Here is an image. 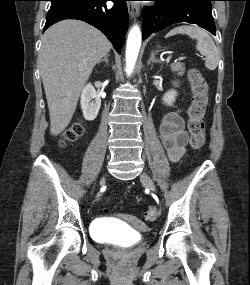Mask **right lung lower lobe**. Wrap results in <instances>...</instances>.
<instances>
[{"label": "right lung lower lobe", "mask_w": 250, "mask_h": 285, "mask_svg": "<svg viewBox=\"0 0 250 285\" xmlns=\"http://www.w3.org/2000/svg\"><path fill=\"white\" fill-rule=\"evenodd\" d=\"M106 1L78 0L51 7L43 30L63 19L82 20L102 31L120 54L129 26L127 0H111L112 8H107Z\"/></svg>", "instance_id": "obj_1"}]
</instances>
